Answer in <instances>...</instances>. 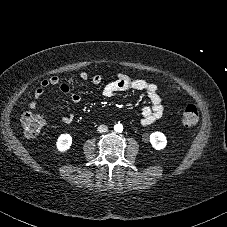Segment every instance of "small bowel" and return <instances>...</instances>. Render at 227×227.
I'll list each match as a JSON object with an SVG mask.
<instances>
[{"mask_svg": "<svg viewBox=\"0 0 227 227\" xmlns=\"http://www.w3.org/2000/svg\"><path fill=\"white\" fill-rule=\"evenodd\" d=\"M79 79L81 81H86L88 79L87 73L81 72L79 74ZM101 82V76L95 75L92 77V83L94 85L98 86L101 84ZM51 86H58L59 90L63 94L68 95L72 102L79 103L81 101V95L74 92L70 84L61 82L57 76H52L48 79H44L35 90L33 100L29 104L30 109H35L37 107L39 100L42 98L45 91ZM129 91H144L148 95L150 104L142 105L141 107L142 125H149L158 120L163 115L164 107L162 105L157 86L144 79L131 80L125 74H118L115 80L105 85L103 89V95L109 98L117 93ZM60 121L66 125L72 124L74 121V115H62L60 117Z\"/></svg>", "mask_w": 227, "mask_h": 227, "instance_id": "1", "label": "small bowel"}]
</instances>
